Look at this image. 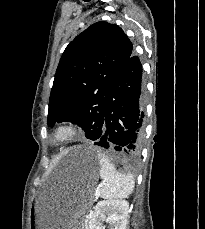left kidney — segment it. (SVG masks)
Here are the masks:
<instances>
[{"label": "left kidney", "mask_w": 205, "mask_h": 229, "mask_svg": "<svg viewBox=\"0 0 205 229\" xmlns=\"http://www.w3.org/2000/svg\"><path fill=\"white\" fill-rule=\"evenodd\" d=\"M129 204L125 200L99 201L90 215L88 229H105L104 222L110 229H126Z\"/></svg>", "instance_id": "obj_1"}]
</instances>
